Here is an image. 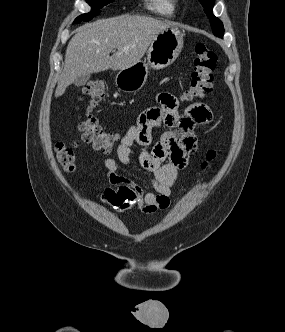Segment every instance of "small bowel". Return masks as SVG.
<instances>
[{
    "label": "small bowel",
    "mask_w": 285,
    "mask_h": 332,
    "mask_svg": "<svg viewBox=\"0 0 285 332\" xmlns=\"http://www.w3.org/2000/svg\"><path fill=\"white\" fill-rule=\"evenodd\" d=\"M211 122L212 113L206 104L196 102L184 110L180 96L159 95V106H148L122 136L117 147L118 161L125 166L132 162L133 145L137 143L141 147L139 161L142 168L151 173L152 190L123 175L115 159L106 158L107 178L115 188H106L101 195L102 201L119 211L136 208L143 214H152L166 209L180 170L197 149L193 129ZM156 126L158 133L180 131L178 134L166 132L162 140L148 150Z\"/></svg>",
    "instance_id": "c3829d8e"
}]
</instances>
